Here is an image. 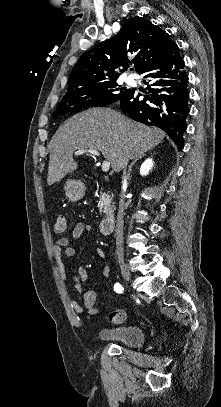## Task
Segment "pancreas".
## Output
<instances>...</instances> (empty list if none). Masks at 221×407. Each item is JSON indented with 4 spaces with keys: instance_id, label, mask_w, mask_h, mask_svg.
I'll return each instance as SVG.
<instances>
[{
    "instance_id": "obj_1",
    "label": "pancreas",
    "mask_w": 221,
    "mask_h": 407,
    "mask_svg": "<svg viewBox=\"0 0 221 407\" xmlns=\"http://www.w3.org/2000/svg\"><path fill=\"white\" fill-rule=\"evenodd\" d=\"M112 198L108 193L101 192L99 196V211L101 214H107L111 210Z\"/></svg>"
}]
</instances>
